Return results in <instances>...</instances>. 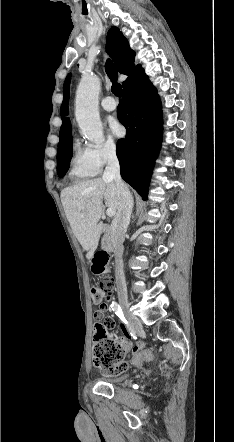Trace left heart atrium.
I'll list each match as a JSON object with an SVG mask.
<instances>
[{
    "label": "left heart atrium",
    "instance_id": "1",
    "mask_svg": "<svg viewBox=\"0 0 234 442\" xmlns=\"http://www.w3.org/2000/svg\"><path fill=\"white\" fill-rule=\"evenodd\" d=\"M110 133L115 137H121L123 135V127L116 119L109 120Z\"/></svg>",
    "mask_w": 234,
    "mask_h": 442
}]
</instances>
